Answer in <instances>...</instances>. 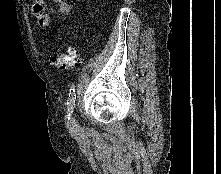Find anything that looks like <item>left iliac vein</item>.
Here are the masks:
<instances>
[{"instance_id":"4c4485c4","label":"left iliac vein","mask_w":221,"mask_h":174,"mask_svg":"<svg viewBox=\"0 0 221 174\" xmlns=\"http://www.w3.org/2000/svg\"><path fill=\"white\" fill-rule=\"evenodd\" d=\"M72 122V127L73 128H75V129H77L78 127H79V125H78V123H77V121H76V119H75V117H72V120H71Z\"/></svg>"}]
</instances>
